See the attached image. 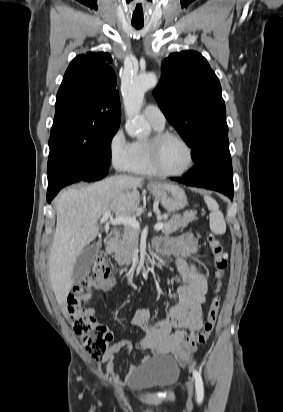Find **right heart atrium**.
Listing matches in <instances>:
<instances>
[{"mask_svg": "<svg viewBox=\"0 0 283 412\" xmlns=\"http://www.w3.org/2000/svg\"><path fill=\"white\" fill-rule=\"evenodd\" d=\"M108 151L112 165L119 171L127 169L131 143L126 139L123 129H117L110 137Z\"/></svg>", "mask_w": 283, "mask_h": 412, "instance_id": "obj_1", "label": "right heart atrium"}]
</instances>
